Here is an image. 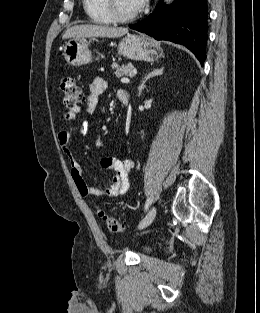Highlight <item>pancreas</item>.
<instances>
[{"label":"pancreas","mask_w":260,"mask_h":313,"mask_svg":"<svg viewBox=\"0 0 260 313\" xmlns=\"http://www.w3.org/2000/svg\"><path fill=\"white\" fill-rule=\"evenodd\" d=\"M112 68L115 69V76L122 77L123 75H133L134 74V67L131 63L124 64L122 66L114 63Z\"/></svg>","instance_id":"1"}]
</instances>
